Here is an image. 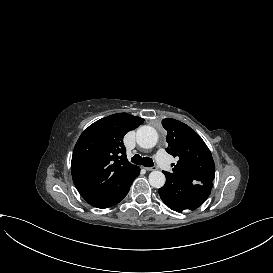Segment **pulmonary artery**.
I'll return each instance as SVG.
<instances>
[{
    "instance_id": "obj_1",
    "label": "pulmonary artery",
    "mask_w": 273,
    "mask_h": 273,
    "mask_svg": "<svg viewBox=\"0 0 273 273\" xmlns=\"http://www.w3.org/2000/svg\"><path fill=\"white\" fill-rule=\"evenodd\" d=\"M156 162L160 169L163 170L164 173L169 174L172 172L173 167L170 162L167 160V153L165 150L160 149L156 153Z\"/></svg>"
}]
</instances>
